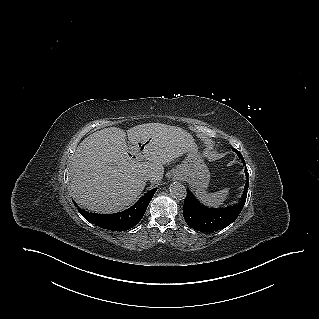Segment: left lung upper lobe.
<instances>
[{"mask_svg": "<svg viewBox=\"0 0 319 319\" xmlns=\"http://www.w3.org/2000/svg\"><path fill=\"white\" fill-rule=\"evenodd\" d=\"M234 152L238 155L240 159L244 160L242 154L238 150L234 149Z\"/></svg>", "mask_w": 319, "mask_h": 319, "instance_id": "5c2ea615", "label": "left lung upper lobe"}]
</instances>
